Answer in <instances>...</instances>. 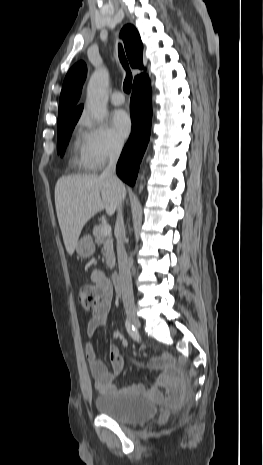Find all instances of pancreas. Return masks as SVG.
Listing matches in <instances>:
<instances>
[{
	"mask_svg": "<svg viewBox=\"0 0 263 465\" xmlns=\"http://www.w3.org/2000/svg\"><path fill=\"white\" fill-rule=\"evenodd\" d=\"M102 225L93 228V236L98 246H102L103 260L105 259L107 266L112 269L115 266V255L113 250V239L111 234L104 236L101 234Z\"/></svg>",
	"mask_w": 263,
	"mask_h": 465,
	"instance_id": "pancreas-1",
	"label": "pancreas"
}]
</instances>
